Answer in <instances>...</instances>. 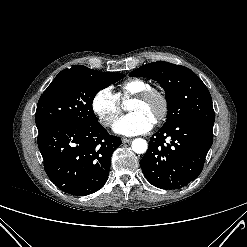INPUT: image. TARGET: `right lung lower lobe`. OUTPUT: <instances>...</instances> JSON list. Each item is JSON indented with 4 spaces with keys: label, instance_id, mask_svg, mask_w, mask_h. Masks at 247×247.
Instances as JSON below:
<instances>
[{
    "label": "right lung lower lobe",
    "instance_id": "98d812e1",
    "mask_svg": "<svg viewBox=\"0 0 247 247\" xmlns=\"http://www.w3.org/2000/svg\"><path fill=\"white\" fill-rule=\"evenodd\" d=\"M38 147L44 168L65 193L84 196L107 181L113 151L121 139L98 123L58 124L39 131Z\"/></svg>",
    "mask_w": 247,
    "mask_h": 247
}]
</instances>
